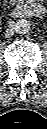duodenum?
<instances>
[{
  "label": "duodenum",
  "instance_id": "410a0bca",
  "mask_svg": "<svg viewBox=\"0 0 47 129\" xmlns=\"http://www.w3.org/2000/svg\"><path fill=\"white\" fill-rule=\"evenodd\" d=\"M44 12L42 6L33 2L18 5L13 9V15L17 18H27L32 16L40 17L44 15Z\"/></svg>",
  "mask_w": 47,
  "mask_h": 129
}]
</instances>
